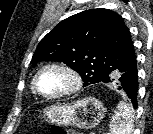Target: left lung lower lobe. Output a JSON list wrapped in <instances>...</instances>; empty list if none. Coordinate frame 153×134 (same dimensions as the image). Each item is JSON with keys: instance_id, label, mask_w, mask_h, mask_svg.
<instances>
[{"instance_id": "1", "label": "left lung lower lobe", "mask_w": 153, "mask_h": 134, "mask_svg": "<svg viewBox=\"0 0 153 134\" xmlns=\"http://www.w3.org/2000/svg\"><path fill=\"white\" fill-rule=\"evenodd\" d=\"M101 83H114L118 90L125 94L137 108L138 69L136 55L127 59L109 77H105Z\"/></svg>"}]
</instances>
